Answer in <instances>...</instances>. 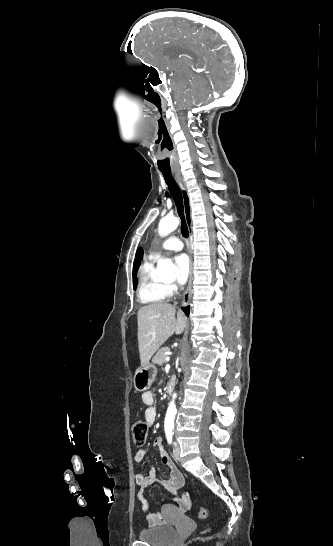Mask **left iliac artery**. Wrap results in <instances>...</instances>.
Listing matches in <instances>:
<instances>
[{
    "instance_id": "1",
    "label": "left iliac artery",
    "mask_w": 333,
    "mask_h": 546,
    "mask_svg": "<svg viewBox=\"0 0 333 546\" xmlns=\"http://www.w3.org/2000/svg\"><path fill=\"white\" fill-rule=\"evenodd\" d=\"M172 435H173L172 430H166V437L169 444L172 442Z\"/></svg>"
}]
</instances>
